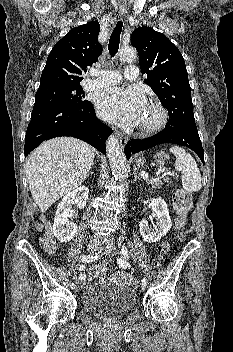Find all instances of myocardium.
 <instances>
[{"label": "myocardium", "mask_w": 233, "mask_h": 352, "mask_svg": "<svg viewBox=\"0 0 233 352\" xmlns=\"http://www.w3.org/2000/svg\"><path fill=\"white\" fill-rule=\"evenodd\" d=\"M147 105L155 112V118L146 123H140V130L145 133H152L162 128L168 118V114L164 106L157 100H150Z\"/></svg>", "instance_id": "1"}]
</instances>
